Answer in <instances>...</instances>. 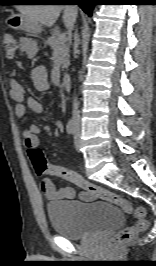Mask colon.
Wrapping results in <instances>:
<instances>
[{"label":"colon","mask_w":156,"mask_h":266,"mask_svg":"<svg viewBox=\"0 0 156 266\" xmlns=\"http://www.w3.org/2000/svg\"><path fill=\"white\" fill-rule=\"evenodd\" d=\"M2 46L6 56L12 58L17 51V40L15 36L9 32L5 33L2 37ZM28 155L33 168L38 175L47 174L69 181L95 198L118 206L123 212L136 219V222L133 225L126 227L118 235L110 239L108 242V248L110 250H114L119 245L133 240L138 234L147 229L148 221L146 219V211L144 207L133 205L130 201L120 195L89 182L75 171L62 166L50 165L39 148L31 149L28 152Z\"/></svg>","instance_id":"1"}]
</instances>
